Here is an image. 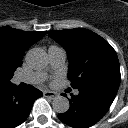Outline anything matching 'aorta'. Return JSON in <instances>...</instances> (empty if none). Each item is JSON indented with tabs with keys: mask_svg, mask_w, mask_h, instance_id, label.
Here are the masks:
<instances>
[{
	"mask_svg": "<svg viewBox=\"0 0 128 128\" xmlns=\"http://www.w3.org/2000/svg\"><path fill=\"white\" fill-rule=\"evenodd\" d=\"M26 63L34 69H42L47 65V54L39 48L29 50L25 57ZM53 110L56 113L64 114L69 110V100L64 96H56L52 102Z\"/></svg>",
	"mask_w": 128,
	"mask_h": 128,
	"instance_id": "1",
	"label": "aorta"
}]
</instances>
